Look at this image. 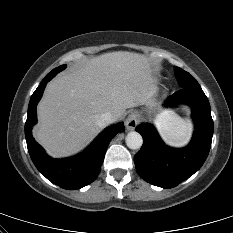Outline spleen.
Segmentation results:
<instances>
[{
	"mask_svg": "<svg viewBox=\"0 0 233 233\" xmlns=\"http://www.w3.org/2000/svg\"><path fill=\"white\" fill-rule=\"evenodd\" d=\"M157 129L166 143L182 146L189 140L192 126L177 115H161L157 119Z\"/></svg>",
	"mask_w": 233,
	"mask_h": 233,
	"instance_id": "spleen-1",
	"label": "spleen"
}]
</instances>
